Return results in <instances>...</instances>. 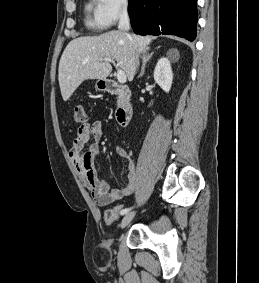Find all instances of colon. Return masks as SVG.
Instances as JSON below:
<instances>
[{
    "mask_svg": "<svg viewBox=\"0 0 259 283\" xmlns=\"http://www.w3.org/2000/svg\"><path fill=\"white\" fill-rule=\"evenodd\" d=\"M85 110L82 106L77 105L74 108V121L76 123H85L86 122ZM122 207H116L112 210H108L105 214V220L108 224L113 223L121 214Z\"/></svg>",
    "mask_w": 259,
    "mask_h": 283,
    "instance_id": "colon-1",
    "label": "colon"
}]
</instances>
